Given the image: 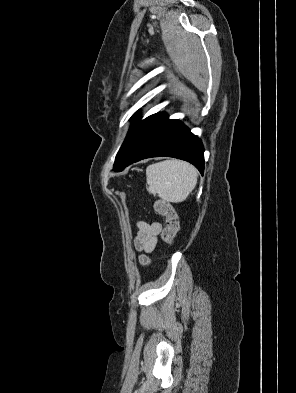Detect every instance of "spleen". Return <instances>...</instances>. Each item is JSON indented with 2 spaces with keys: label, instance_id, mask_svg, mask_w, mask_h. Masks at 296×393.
I'll list each match as a JSON object with an SVG mask.
<instances>
[{
  "label": "spleen",
  "instance_id": "spleen-1",
  "mask_svg": "<svg viewBox=\"0 0 296 393\" xmlns=\"http://www.w3.org/2000/svg\"><path fill=\"white\" fill-rule=\"evenodd\" d=\"M197 170L189 163L165 160L146 169L148 192L167 202L184 201L197 184Z\"/></svg>",
  "mask_w": 296,
  "mask_h": 393
}]
</instances>
